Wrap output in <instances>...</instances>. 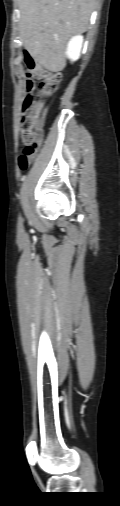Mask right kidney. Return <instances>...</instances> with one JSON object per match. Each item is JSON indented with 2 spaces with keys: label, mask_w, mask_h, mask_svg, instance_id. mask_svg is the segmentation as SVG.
Returning <instances> with one entry per match:
<instances>
[{
  "label": "right kidney",
  "mask_w": 120,
  "mask_h": 506,
  "mask_svg": "<svg viewBox=\"0 0 120 506\" xmlns=\"http://www.w3.org/2000/svg\"><path fill=\"white\" fill-rule=\"evenodd\" d=\"M82 44H83V37L81 35H76L71 38L66 50V55L68 56L69 59L75 61L79 58Z\"/></svg>",
  "instance_id": "right-kidney-1"
}]
</instances>
